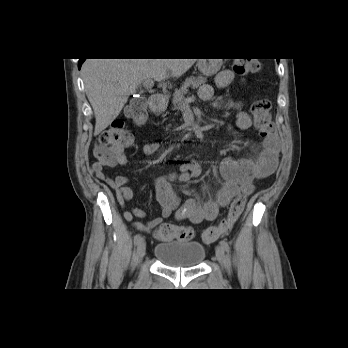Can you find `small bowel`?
I'll list each match as a JSON object with an SVG mask.
<instances>
[{
  "label": "small bowel",
  "instance_id": "small-bowel-1",
  "mask_svg": "<svg viewBox=\"0 0 348 348\" xmlns=\"http://www.w3.org/2000/svg\"><path fill=\"white\" fill-rule=\"evenodd\" d=\"M234 79L235 75L232 71L224 70L218 74L216 85L220 89H225L233 83ZM199 97L203 101H213L215 106L220 109L235 112V126H230L229 130L236 137H241L251 127V118L239 103L224 97L214 100L212 86L208 84L202 85L199 88ZM159 148V143L149 142L143 145L142 150L146 155H153ZM279 152V137L277 134H271L264 140L262 149L255 161L223 160L220 165V171L224 177V182L217 190L214 198L204 202H200L193 196L194 191L190 187V182L199 179L201 176L202 168L200 163L191 161L182 164L178 172L152 180L155 198L161 210L159 217L153 218L145 224L135 222V217L142 218L145 216V213L139 208H131L130 210H124V218L126 221L131 222L136 229L147 233L154 231L162 225L164 219L169 218L171 215H174L177 220H188L193 224L212 221L217 217L219 209L227 206L236 194H250L253 191L255 182L274 173L278 165ZM127 164L128 159L123 155L119 162L110 166H125ZM106 166V164L99 162L95 163L93 165V173L99 180L108 184L115 191L120 206L125 208V204L132 196V190L128 186L129 177L120 175L112 178L105 172ZM173 181H178L182 185L183 192L189 196L188 199L181 200L173 189Z\"/></svg>",
  "mask_w": 348,
  "mask_h": 348
}]
</instances>
